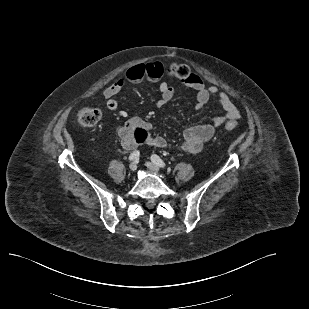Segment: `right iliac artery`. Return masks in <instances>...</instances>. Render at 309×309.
Returning <instances> with one entry per match:
<instances>
[{
  "mask_svg": "<svg viewBox=\"0 0 309 309\" xmlns=\"http://www.w3.org/2000/svg\"><path fill=\"white\" fill-rule=\"evenodd\" d=\"M140 152L139 151H133L129 156V161H137L139 159Z\"/></svg>",
  "mask_w": 309,
  "mask_h": 309,
  "instance_id": "82829eb1",
  "label": "right iliac artery"
}]
</instances>
